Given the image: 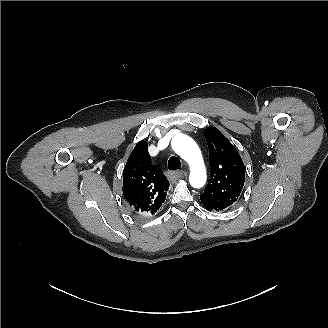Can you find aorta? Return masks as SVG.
Returning a JSON list of instances; mask_svg holds the SVG:
<instances>
[{"instance_id":"aorta-1","label":"aorta","mask_w":328,"mask_h":328,"mask_svg":"<svg viewBox=\"0 0 328 328\" xmlns=\"http://www.w3.org/2000/svg\"><path fill=\"white\" fill-rule=\"evenodd\" d=\"M173 150L190 166L189 182L194 188H201L206 183V169L201 151L196 142L185 134H177L171 142Z\"/></svg>"}]
</instances>
